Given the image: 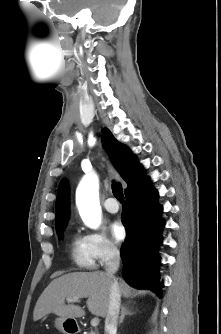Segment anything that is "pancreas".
<instances>
[{
    "mask_svg": "<svg viewBox=\"0 0 221 334\" xmlns=\"http://www.w3.org/2000/svg\"><path fill=\"white\" fill-rule=\"evenodd\" d=\"M88 334H96L94 331L89 332Z\"/></svg>",
    "mask_w": 221,
    "mask_h": 334,
    "instance_id": "cf45deb5",
    "label": "pancreas"
}]
</instances>
